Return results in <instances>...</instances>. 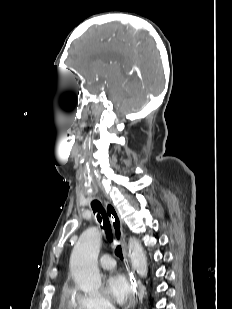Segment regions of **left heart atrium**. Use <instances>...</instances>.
<instances>
[{"instance_id": "obj_1", "label": "left heart atrium", "mask_w": 232, "mask_h": 309, "mask_svg": "<svg viewBox=\"0 0 232 309\" xmlns=\"http://www.w3.org/2000/svg\"><path fill=\"white\" fill-rule=\"evenodd\" d=\"M107 289L112 299L120 305L128 303L132 288L127 277L119 271L112 272L107 278Z\"/></svg>"}]
</instances>
